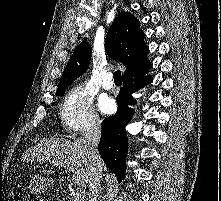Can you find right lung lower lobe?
<instances>
[{"mask_svg": "<svg viewBox=\"0 0 221 201\" xmlns=\"http://www.w3.org/2000/svg\"><path fill=\"white\" fill-rule=\"evenodd\" d=\"M151 67L152 65L149 64L144 69L123 77V87L116 99L117 113L111 118L105 119L102 124L98 151L106 166L117 175L119 182L124 179L126 170L128 139L125 126L134 114V109L129 108L128 105L136 104L131 94L152 82L150 76L145 77Z\"/></svg>", "mask_w": 221, "mask_h": 201, "instance_id": "obj_1", "label": "right lung lower lobe"}]
</instances>
